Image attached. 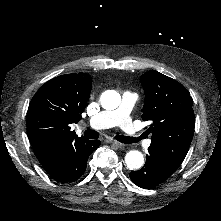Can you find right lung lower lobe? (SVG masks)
Masks as SVG:
<instances>
[{
	"instance_id": "obj_1",
	"label": "right lung lower lobe",
	"mask_w": 221,
	"mask_h": 221,
	"mask_svg": "<svg viewBox=\"0 0 221 221\" xmlns=\"http://www.w3.org/2000/svg\"><path fill=\"white\" fill-rule=\"evenodd\" d=\"M100 144L99 140L78 142L45 170L58 182H74L83 175L88 157Z\"/></svg>"
}]
</instances>
